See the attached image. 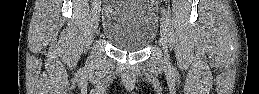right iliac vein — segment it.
I'll return each instance as SVG.
<instances>
[{
	"mask_svg": "<svg viewBox=\"0 0 259 94\" xmlns=\"http://www.w3.org/2000/svg\"><path fill=\"white\" fill-rule=\"evenodd\" d=\"M99 17H100V6L96 4L94 7V14H93V21H94V30L96 31L99 24Z\"/></svg>",
	"mask_w": 259,
	"mask_h": 94,
	"instance_id": "63e3f726",
	"label": "right iliac vein"
}]
</instances>
